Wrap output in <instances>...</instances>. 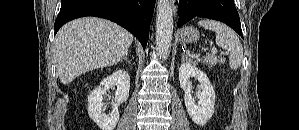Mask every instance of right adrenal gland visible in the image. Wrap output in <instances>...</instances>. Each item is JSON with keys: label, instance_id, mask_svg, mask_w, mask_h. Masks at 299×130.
I'll return each instance as SVG.
<instances>
[{"label": "right adrenal gland", "instance_id": "right-adrenal-gland-1", "mask_svg": "<svg viewBox=\"0 0 299 130\" xmlns=\"http://www.w3.org/2000/svg\"><path fill=\"white\" fill-rule=\"evenodd\" d=\"M124 60H125L128 64H130V61H129V59H128V53L125 54ZM121 62H122V60H121Z\"/></svg>", "mask_w": 299, "mask_h": 130}]
</instances>
